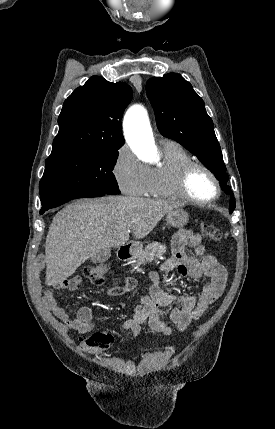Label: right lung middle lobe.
I'll return each instance as SVG.
<instances>
[{
  "instance_id": "right-lung-middle-lobe-1",
  "label": "right lung middle lobe",
  "mask_w": 275,
  "mask_h": 429,
  "mask_svg": "<svg viewBox=\"0 0 275 429\" xmlns=\"http://www.w3.org/2000/svg\"><path fill=\"white\" fill-rule=\"evenodd\" d=\"M119 148L51 152L39 184L41 201L71 191L120 194L112 170Z\"/></svg>"
}]
</instances>
